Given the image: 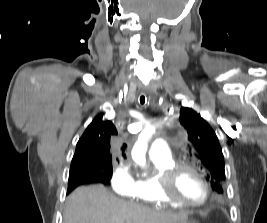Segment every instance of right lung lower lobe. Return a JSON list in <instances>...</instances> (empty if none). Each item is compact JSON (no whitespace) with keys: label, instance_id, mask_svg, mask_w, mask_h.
Here are the masks:
<instances>
[{"label":"right lung lower lobe","instance_id":"right-lung-lower-lobe-1","mask_svg":"<svg viewBox=\"0 0 267 223\" xmlns=\"http://www.w3.org/2000/svg\"><path fill=\"white\" fill-rule=\"evenodd\" d=\"M109 180L110 178L107 176H104L103 174L90 173V172H79V173L69 176L67 193L71 192L75 187L82 185V184H87V183H92V182H100V183L107 184Z\"/></svg>","mask_w":267,"mask_h":223}]
</instances>
